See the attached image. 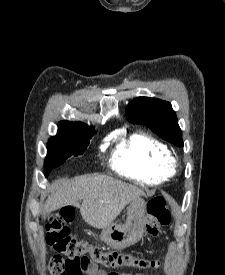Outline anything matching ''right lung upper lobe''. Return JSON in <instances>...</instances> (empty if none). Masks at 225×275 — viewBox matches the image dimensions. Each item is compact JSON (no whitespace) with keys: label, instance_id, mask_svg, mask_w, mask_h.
Instances as JSON below:
<instances>
[{"label":"right lung upper lobe","instance_id":"right-lung-upper-lobe-1","mask_svg":"<svg viewBox=\"0 0 225 275\" xmlns=\"http://www.w3.org/2000/svg\"><path fill=\"white\" fill-rule=\"evenodd\" d=\"M59 125L88 127L86 124H84L82 122L73 123V122H69V121H61Z\"/></svg>","mask_w":225,"mask_h":275}]
</instances>
